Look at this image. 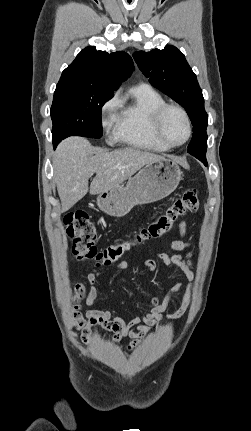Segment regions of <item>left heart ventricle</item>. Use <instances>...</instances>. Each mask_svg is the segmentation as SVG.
Segmentation results:
<instances>
[{
  "label": "left heart ventricle",
  "instance_id": "1",
  "mask_svg": "<svg viewBox=\"0 0 251 431\" xmlns=\"http://www.w3.org/2000/svg\"><path fill=\"white\" fill-rule=\"evenodd\" d=\"M162 131L169 141L182 142L187 135V126L182 114L175 109H169L163 117Z\"/></svg>",
  "mask_w": 251,
  "mask_h": 431
}]
</instances>
